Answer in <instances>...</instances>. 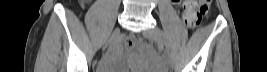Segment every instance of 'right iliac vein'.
Returning <instances> with one entry per match:
<instances>
[{"label": "right iliac vein", "instance_id": "63e3f726", "mask_svg": "<svg viewBox=\"0 0 267 72\" xmlns=\"http://www.w3.org/2000/svg\"><path fill=\"white\" fill-rule=\"evenodd\" d=\"M119 33H120V30L115 29V31L112 33L109 40L107 41L106 45L113 44L115 42L116 38L118 37Z\"/></svg>", "mask_w": 267, "mask_h": 72}]
</instances>
